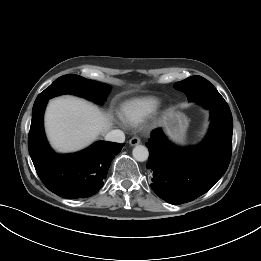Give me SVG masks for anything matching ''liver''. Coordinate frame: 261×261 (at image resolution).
Segmentation results:
<instances>
[{
	"label": "liver",
	"instance_id": "liver-1",
	"mask_svg": "<svg viewBox=\"0 0 261 261\" xmlns=\"http://www.w3.org/2000/svg\"><path fill=\"white\" fill-rule=\"evenodd\" d=\"M112 126L98 107L76 97L51 100L45 113V129L58 152H75L89 146Z\"/></svg>",
	"mask_w": 261,
	"mask_h": 261
}]
</instances>
